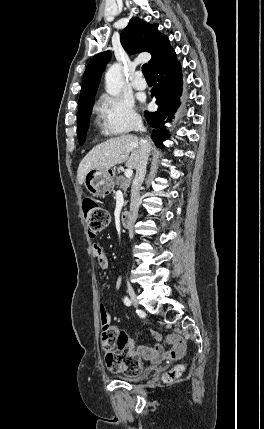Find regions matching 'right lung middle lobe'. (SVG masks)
<instances>
[{"instance_id": "right-lung-middle-lobe-1", "label": "right lung middle lobe", "mask_w": 264, "mask_h": 429, "mask_svg": "<svg viewBox=\"0 0 264 429\" xmlns=\"http://www.w3.org/2000/svg\"><path fill=\"white\" fill-rule=\"evenodd\" d=\"M93 103L94 101L78 107V141L81 145L85 142Z\"/></svg>"}]
</instances>
